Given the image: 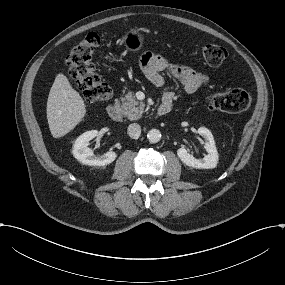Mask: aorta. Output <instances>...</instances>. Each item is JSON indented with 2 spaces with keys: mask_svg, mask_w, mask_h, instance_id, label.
I'll use <instances>...</instances> for the list:
<instances>
[{
  "mask_svg": "<svg viewBox=\"0 0 285 285\" xmlns=\"http://www.w3.org/2000/svg\"><path fill=\"white\" fill-rule=\"evenodd\" d=\"M147 138L150 143H157L161 139V133L158 129H151L147 133Z\"/></svg>",
  "mask_w": 285,
  "mask_h": 285,
  "instance_id": "1",
  "label": "aorta"
}]
</instances>
